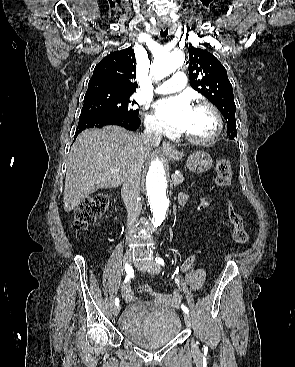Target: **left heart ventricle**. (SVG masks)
I'll list each match as a JSON object with an SVG mask.
<instances>
[{
  "label": "left heart ventricle",
  "instance_id": "obj_1",
  "mask_svg": "<svg viewBox=\"0 0 295 367\" xmlns=\"http://www.w3.org/2000/svg\"><path fill=\"white\" fill-rule=\"evenodd\" d=\"M215 127L214 116L208 109L193 108L183 132L195 138H205L213 133Z\"/></svg>",
  "mask_w": 295,
  "mask_h": 367
}]
</instances>
